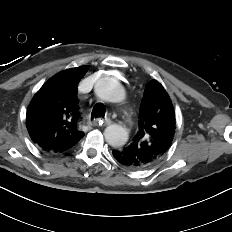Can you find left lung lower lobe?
<instances>
[{"label":"left lung lower lobe","mask_w":232,"mask_h":232,"mask_svg":"<svg viewBox=\"0 0 232 232\" xmlns=\"http://www.w3.org/2000/svg\"><path fill=\"white\" fill-rule=\"evenodd\" d=\"M114 159L122 166L131 169L139 170V162L131 155L126 148L116 149L112 151Z\"/></svg>","instance_id":"0a47b994"}]
</instances>
